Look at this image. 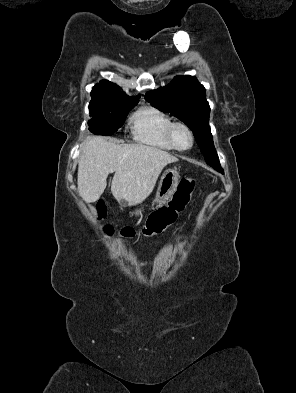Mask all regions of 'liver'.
<instances>
[{
    "instance_id": "1",
    "label": "liver",
    "mask_w": 296,
    "mask_h": 393,
    "mask_svg": "<svg viewBox=\"0 0 296 393\" xmlns=\"http://www.w3.org/2000/svg\"><path fill=\"white\" fill-rule=\"evenodd\" d=\"M178 159L166 151L142 144L118 145L104 137H88L82 144L78 165L79 195L97 201L115 172L111 192L129 206L142 203L153 191L162 169Z\"/></svg>"
}]
</instances>
